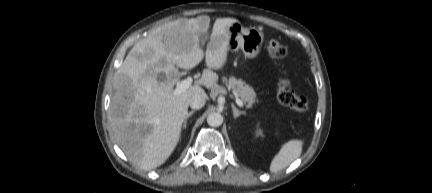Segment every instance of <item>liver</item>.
Listing matches in <instances>:
<instances>
[{"mask_svg": "<svg viewBox=\"0 0 432 193\" xmlns=\"http://www.w3.org/2000/svg\"><path fill=\"white\" fill-rule=\"evenodd\" d=\"M233 18H218L213 24L204 54L200 40L210 18L199 16L168 22L140 40L117 70L109 108L114 138L125 155L144 170L162 165L174 151L193 95L212 89L219 69L227 60V27ZM205 55L208 66L199 81L185 92L174 93L177 68L192 69ZM165 79L160 81L158 76ZM207 98V96H206Z\"/></svg>", "mask_w": 432, "mask_h": 193, "instance_id": "1", "label": "liver"}]
</instances>
